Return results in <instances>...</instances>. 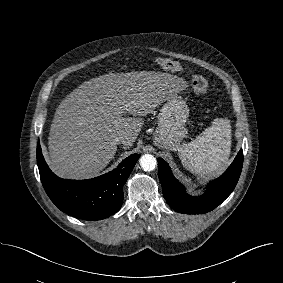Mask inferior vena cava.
<instances>
[{
    "label": "inferior vena cava",
    "mask_w": 283,
    "mask_h": 283,
    "mask_svg": "<svg viewBox=\"0 0 283 283\" xmlns=\"http://www.w3.org/2000/svg\"><path fill=\"white\" fill-rule=\"evenodd\" d=\"M115 142L117 144H120V143L124 144L126 142V138L124 136H118L115 138Z\"/></svg>",
    "instance_id": "inferior-vena-cava-1"
}]
</instances>
